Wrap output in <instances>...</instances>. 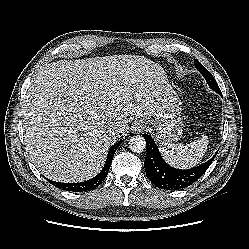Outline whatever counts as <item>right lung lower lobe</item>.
Returning a JSON list of instances; mask_svg holds the SVG:
<instances>
[{"instance_id": "1", "label": "right lung lower lobe", "mask_w": 249, "mask_h": 249, "mask_svg": "<svg viewBox=\"0 0 249 249\" xmlns=\"http://www.w3.org/2000/svg\"><path fill=\"white\" fill-rule=\"evenodd\" d=\"M121 142L122 141H119L118 143L111 146L103 169L94 178L84 181V182H80V183H60V182L48 180L49 183H51L52 185L60 189H64L67 191H73V192H85V191H90L92 189H95L106 178L108 171L110 169V165H111L114 153L116 152L117 148L120 146Z\"/></svg>"}]
</instances>
